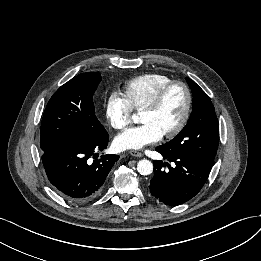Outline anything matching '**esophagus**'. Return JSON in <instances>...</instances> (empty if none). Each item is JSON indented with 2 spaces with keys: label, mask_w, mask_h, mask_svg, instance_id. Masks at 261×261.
I'll return each mask as SVG.
<instances>
[{
  "label": "esophagus",
  "mask_w": 261,
  "mask_h": 261,
  "mask_svg": "<svg viewBox=\"0 0 261 261\" xmlns=\"http://www.w3.org/2000/svg\"><path fill=\"white\" fill-rule=\"evenodd\" d=\"M130 155L133 156V157H142L143 154L141 152H138V151H135V150H131L130 152Z\"/></svg>",
  "instance_id": "obj_1"
}]
</instances>
